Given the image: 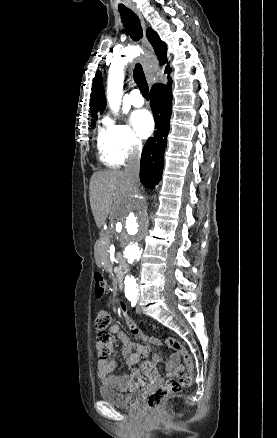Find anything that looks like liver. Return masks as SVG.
<instances>
[{
    "label": "liver",
    "mask_w": 277,
    "mask_h": 438,
    "mask_svg": "<svg viewBox=\"0 0 277 438\" xmlns=\"http://www.w3.org/2000/svg\"><path fill=\"white\" fill-rule=\"evenodd\" d=\"M124 188H131L125 172L104 170L93 174L90 180V206L97 228L104 226L114 205H122Z\"/></svg>",
    "instance_id": "1"
}]
</instances>
